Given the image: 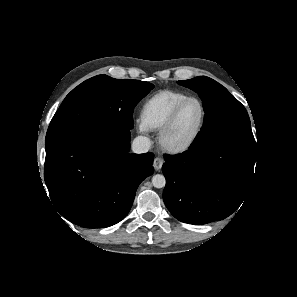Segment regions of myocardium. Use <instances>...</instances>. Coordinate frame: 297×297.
Listing matches in <instances>:
<instances>
[{"instance_id":"1","label":"myocardium","mask_w":297,"mask_h":297,"mask_svg":"<svg viewBox=\"0 0 297 297\" xmlns=\"http://www.w3.org/2000/svg\"><path fill=\"white\" fill-rule=\"evenodd\" d=\"M190 102H197L199 104V106L201 107L202 116H201L200 123H199L197 129L195 130V132L193 133V135L185 143L180 144V145H170L167 142V137H168L170 131L172 130L173 126L175 125L180 112ZM206 120H207V110H206V107L203 104V102L199 98H196V97L186 98L185 100L180 102L173 109V111L171 112V114L169 115V117L167 118L165 123L163 124V126L160 128L159 134H158V143H159L160 147L162 148V150H164L165 152H167L169 154H181V153H184V152L190 150L195 145L197 140L199 139V137L205 127Z\"/></svg>"}]
</instances>
